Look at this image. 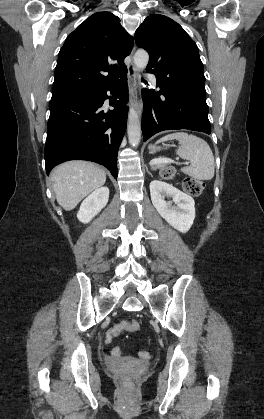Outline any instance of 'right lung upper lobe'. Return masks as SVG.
Here are the masks:
<instances>
[{
    "mask_svg": "<svg viewBox=\"0 0 264 419\" xmlns=\"http://www.w3.org/2000/svg\"><path fill=\"white\" fill-rule=\"evenodd\" d=\"M133 38L117 16L98 12L87 18L67 38L59 52L52 97H66L111 85L127 67Z\"/></svg>",
    "mask_w": 264,
    "mask_h": 419,
    "instance_id": "obj_1",
    "label": "right lung upper lobe"
}]
</instances>
